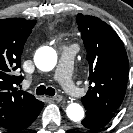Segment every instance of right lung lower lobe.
<instances>
[{"label": "right lung lower lobe", "instance_id": "obj_1", "mask_svg": "<svg viewBox=\"0 0 133 133\" xmlns=\"http://www.w3.org/2000/svg\"><path fill=\"white\" fill-rule=\"evenodd\" d=\"M43 106L44 103L40 101L34 108L30 109L18 122L7 128L6 130L11 133H16L27 128L37 118Z\"/></svg>", "mask_w": 133, "mask_h": 133}]
</instances>
